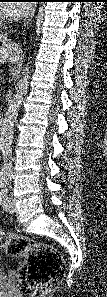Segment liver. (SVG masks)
<instances>
[{"mask_svg":"<svg viewBox=\"0 0 107 297\" xmlns=\"http://www.w3.org/2000/svg\"><path fill=\"white\" fill-rule=\"evenodd\" d=\"M0 64H4L7 61L12 63H17L20 59L21 48L16 43H11L7 38L0 37Z\"/></svg>","mask_w":107,"mask_h":297,"instance_id":"obj_1","label":"liver"}]
</instances>
